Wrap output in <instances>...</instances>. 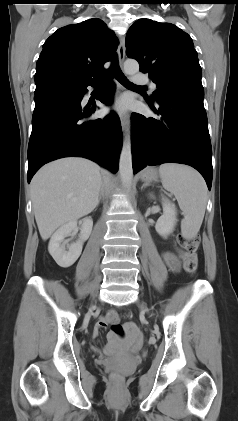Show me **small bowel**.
<instances>
[{"label":"small bowel","instance_id":"obj_1","mask_svg":"<svg viewBox=\"0 0 238 421\" xmlns=\"http://www.w3.org/2000/svg\"><path fill=\"white\" fill-rule=\"evenodd\" d=\"M163 258L167 266L173 270L176 271L179 269V260L177 259L176 255L172 252H165L163 253ZM114 311H109L105 316L99 319V321L96 323L94 327V335L97 336L102 329H105L108 324H110V316L112 314H115ZM127 328L131 332V340L132 341H138L139 340V330L137 326L134 323H128ZM109 339L111 342H114L113 338L109 336Z\"/></svg>","mask_w":238,"mask_h":421}]
</instances>
